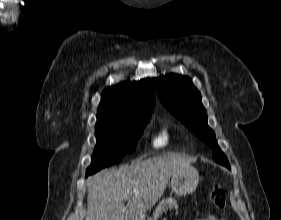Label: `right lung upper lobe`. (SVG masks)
Masks as SVG:
<instances>
[{"label": "right lung upper lobe", "mask_w": 281, "mask_h": 220, "mask_svg": "<svg viewBox=\"0 0 281 220\" xmlns=\"http://www.w3.org/2000/svg\"><path fill=\"white\" fill-rule=\"evenodd\" d=\"M154 106L155 95L149 78L122 82L103 91L97 124H113L151 115Z\"/></svg>", "instance_id": "cb5924a9"}]
</instances>
